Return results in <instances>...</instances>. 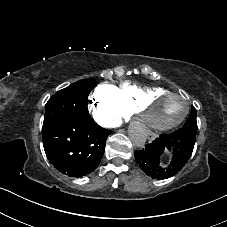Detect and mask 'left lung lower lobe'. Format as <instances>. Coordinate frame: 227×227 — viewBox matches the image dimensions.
<instances>
[{
  "label": "left lung lower lobe",
  "mask_w": 227,
  "mask_h": 227,
  "mask_svg": "<svg viewBox=\"0 0 227 227\" xmlns=\"http://www.w3.org/2000/svg\"><path fill=\"white\" fill-rule=\"evenodd\" d=\"M196 133L181 131L180 129L166 135H160L144 149L135 151V159L141 169L153 179H167L177 174L189 160ZM172 150L173 158L169 165L162 166L160 157L164 150Z\"/></svg>",
  "instance_id": "obj_1"
}]
</instances>
